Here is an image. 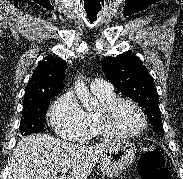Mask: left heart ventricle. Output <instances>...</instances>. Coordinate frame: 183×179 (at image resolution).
I'll return each mask as SVG.
<instances>
[{
	"label": "left heart ventricle",
	"instance_id": "left-heart-ventricle-1",
	"mask_svg": "<svg viewBox=\"0 0 183 179\" xmlns=\"http://www.w3.org/2000/svg\"><path fill=\"white\" fill-rule=\"evenodd\" d=\"M141 124L142 118L139 112L128 103L121 104L111 118V126L113 129L125 134L137 131Z\"/></svg>",
	"mask_w": 183,
	"mask_h": 179
}]
</instances>
